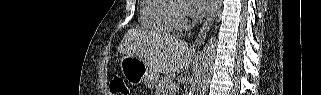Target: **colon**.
Masks as SVG:
<instances>
[{
  "mask_svg": "<svg viewBox=\"0 0 321 95\" xmlns=\"http://www.w3.org/2000/svg\"><path fill=\"white\" fill-rule=\"evenodd\" d=\"M110 90L114 94H119V95H129V89L127 85L125 84L124 80L122 77L119 75H115L112 77L110 81Z\"/></svg>",
  "mask_w": 321,
  "mask_h": 95,
  "instance_id": "colon-1",
  "label": "colon"
}]
</instances>
